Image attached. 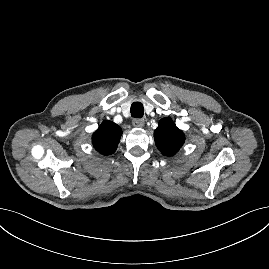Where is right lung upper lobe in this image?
Wrapping results in <instances>:
<instances>
[{
	"mask_svg": "<svg viewBox=\"0 0 269 269\" xmlns=\"http://www.w3.org/2000/svg\"><path fill=\"white\" fill-rule=\"evenodd\" d=\"M121 128L111 121H103L92 136L94 148L103 155L112 154L120 141Z\"/></svg>",
	"mask_w": 269,
	"mask_h": 269,
	"instance_id": "1",
	"label": "right lung upper lobe"
}]
</instances>
